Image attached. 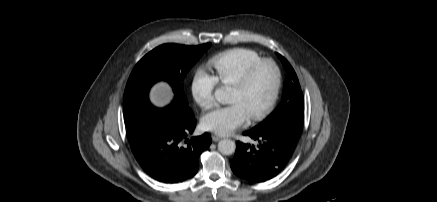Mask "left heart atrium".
<instances>
[{"label":"left heart atrium","instance_id":"1","mask_svg":"<svg viewBox=\"0 0 437 202\" xmlns=\"http://www.w3.org/2000/svg\"><path fill=\"white\" fill-rule=\"evenodd\" d=\"M249 116L240 102L216 108L202 118V126L219 135H228L244 125Z\"/></svg>","mask_w":437,"mask_h":202}]
</instances>
